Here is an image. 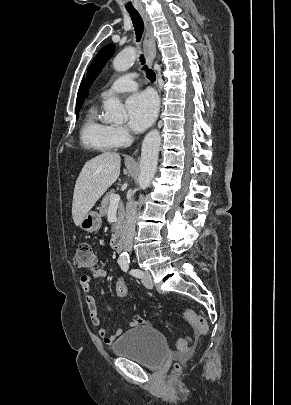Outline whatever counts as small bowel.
Wrapping results in <instances>:
<instances>
[{
	"label": "small bowel",
	"instance_id": "c3829d8e",
	"mask_svg": "<svg viewBox=\"0 0 291 405\" xmlns=\"http://www.w3.org/2000/svg\"><path fill=\"white\" fill-rule=\"evenodd\" d=\"M93 278L99 280L101 283H104V281L107 278V272L103 269H98L93 273L92 276L83 275L80 278V284H81L82 289L85 292V303L89 310L90 320H91L92 324L97 328V334L103 339V341L107 345H111L123 334L124 331H123V329H117L113 334L108 335L106 328L102 326V321L98 314L96 301L90 292V285H91ZM101 294L105 295L104 289H101ZM105 305H106L108 312L111 313L112 307H111L110 303L108 302V300H105ZM143 323H144L143 318L136 315L134 317V319L130 322V326L135 327V326L141 325Z\"/></svg>",
	"mask_w": 291,
	"mask_h": 405
}]
</instances>
